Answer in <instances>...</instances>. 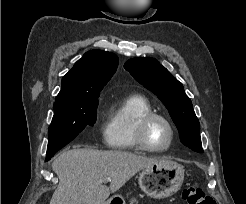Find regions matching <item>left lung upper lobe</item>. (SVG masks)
I'll return each instance as SVG.
<instances>
[{
	"mask_svg": "<svg viewBox=\"0 0 246 204\" xmlns=\"http://www.w3.org/2000/svg\"><path fill=\"white\" fill-rule=\"evenodd\" d=\"M124 68L166 106L177 126L181 142L196 152H203L200 124L181 82L153 58L130 59Z\"/></svg>",
	"mask_w": 246,
	"mask_h": 204,
	"instance_id": "obj_1",
	"label": "left lung upper lobe"
}]
</instances>
